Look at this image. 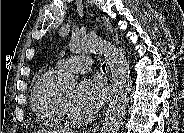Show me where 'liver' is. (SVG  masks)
Returning a JSON list of instances; mask_svg holds the SVG:
<instances>
[{
    "label": "liver",
    "instance_id": "obj_1",
    "mask_svg": "<svg viewBox=\"0 0 184 133\" xmlns=\"http://www.w3.org/2000/svg\"><path fill=\"white\" fill-rule=\"evenodd\" d=\"M37 133H64L63 131H52V130H39Z\"/></svg>",
    "mask_w": 184,
    "mask_h": 133
}]
</instances>
